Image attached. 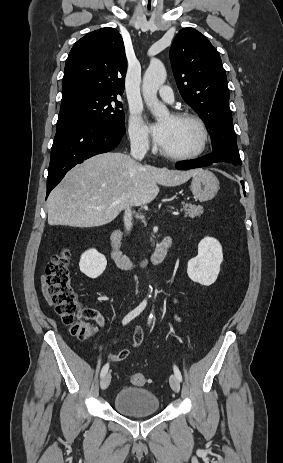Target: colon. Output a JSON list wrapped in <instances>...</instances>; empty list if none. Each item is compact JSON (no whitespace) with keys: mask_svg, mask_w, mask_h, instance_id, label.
Masks as SVG:
<instances>
[{"mask_svg":"<svg viewBox=\"0 0 283 463\" xmlns=\"http://www.w3.org/2000/svg\"><path fill=\"white\" fill-rule=\"evenodd\" d=\"M70 258V250L64 248L56 252L48 262L45 271L47 293L61 320L70 326L71 333L78 339L86 340L93 335L92 322L99 323L101 318L96 310L81 307L72 285ZM130 381L136 386L148 383L147 377L138 372L130 374Z\"/></svg>","mask_w":283,"mask_h":463,"instance_id":"5ec220e1","label":"colon"}]
</instances>
